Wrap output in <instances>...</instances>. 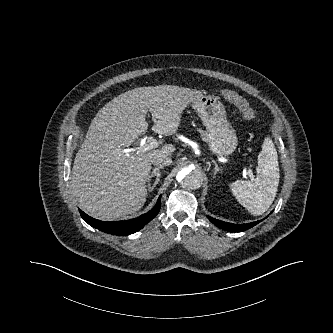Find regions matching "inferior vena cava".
Listing matches in <instances>:
<instances>
[{
  "mask_svg": "<svg viewBox=\"0 0 333 333\" xmlns=\"http://www.w3.org/2000/svg\"><path fill=\"white\" fill-rule=\"evenodd\" d=\"M152 163L156 166L170 165L172 159L168 155H156L153 157Z\"/></svg>",
  "mask_w": 333,
  "mask_h": 333,
  "instance_id": "1",
  "label": "inferior vena cava"
}]
</instances>
